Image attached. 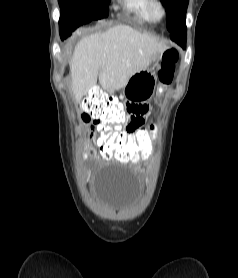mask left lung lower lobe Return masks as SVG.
Instances as JSON below:
<instances>
[{
    "instance_id": "0a47b994",
    "label": "left lung lower lobe",
    "mask_w": 238,
    "mask_h": 278,
    "mask_svg": "<svg viewBox=\"0 0 238 278\" xmlns=\"http://www.w3.org/2000/svg\"><path fill=\"white\" fill-rule=\"evenodd\" d=\"M171 39L177 42L183 48L186 46V24L185 17L182 18L179 25L170 32Z\"/></svg>"
}]
</instances>
